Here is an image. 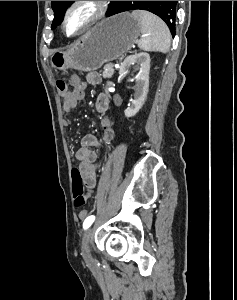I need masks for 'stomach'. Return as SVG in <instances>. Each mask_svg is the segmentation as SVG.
Segmentation results:
<instances>
[{
  "label": "stomach",
  "instance_id": "1",
  "mask_svg": "<svg viewBox=\"0 0 237 300\" xmlns=\"http://www.w3.org/2000/svg\"><path fill=\"white\" fill-rule=\"evenodd\" d=\"M141 25L131 13L103 19L67 51H55L50 63L58 71H97L103 63L119 59L140 37Z\"/></svg>",
  "mask_w": 237,
  "mask_h": 300
}]
</instances>
